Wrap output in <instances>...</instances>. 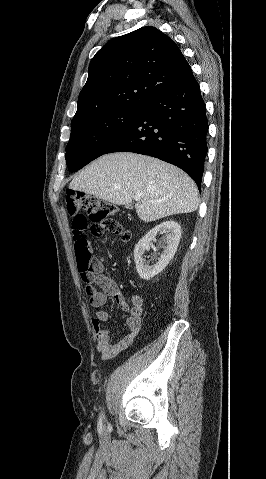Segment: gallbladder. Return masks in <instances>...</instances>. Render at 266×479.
<instances>
[{"mask_svg": "<svg viewBox=\"0 0 266 479\" xmlns=\"http://www.w3.org/2000/svg\"><path fill=\"white\" fill-rule=\"evenodd\" d=\"M127 208L132 209L133 207L129 204V205H127Z\"/></svg>", "mask_w": 266, "mask_h": 479, "instance_id": "obj_1", "label": "gallbladder"}]
</instances>
